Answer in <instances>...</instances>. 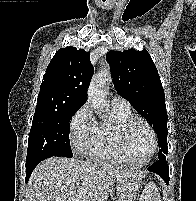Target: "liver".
Instances as JSON below:
<instances>
[{"instance_id": "liver-1", "label": "liver", "mask_w": 196, "mask_h": 201, "mask_svg": "<svg viewBox=\"0 0 196 201\" xmlns=\"http://www.w3.org/2000/svg\"><path fill=\"white\" fill-rule=\"evenodd\" d=\"M124 178L140 180L142 175L106 161L51 157L31 174L27 201H107L115 183Z\"/></svg>"}]
</instances>
